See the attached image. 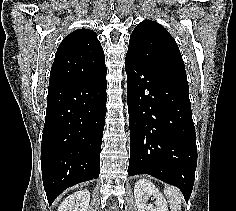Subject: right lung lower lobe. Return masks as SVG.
<instances>
[{
    "label": "right lung lower lobe",
    "mask_w": 236,
    "mask_h": 211,
    "mask_svg": "<svg viewBox=\"0 0 236 211\" xmlns=\"http://www.w3.org/2000/svg\"><path fill=\"white\" fill-rule=\"evenodd\" d=\"M106 71L48 89L41 168L49 204L65 189L99 176L106 115Z\"/></svg>",
    "instance_id": "right-lung-lower-lobe-1"
}]
</instances>
